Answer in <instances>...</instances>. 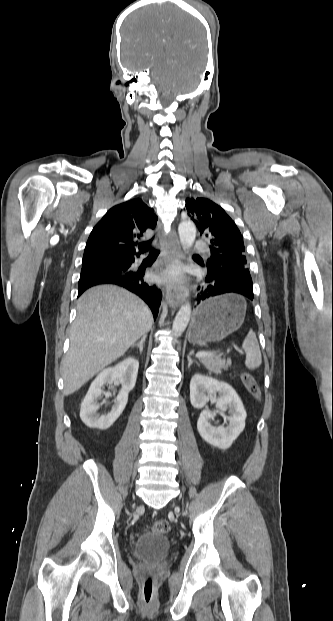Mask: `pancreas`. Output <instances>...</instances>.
<instances>
[{"mask_svg": "<svg viewBox=\"0 0 333 621\" xmlns=\"http://www.w3.org/2000/svg\"><path fill=\"white\" fill-rule=\"evenodd\" d=\"M200 362L211 372L218 375L221 374L222 369L227 370L231 365L230 359L221 357L206 356L200 358Z\"/></svg>", "mask_w": 333, "mask_h": 621, "instance_id": "1", "label": "pancreas"}]
</instances>
